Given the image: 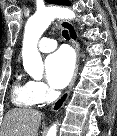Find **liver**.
I'll list each match as a JSON object with an SVG mask.
<instances>
[{
  "label": "liver",
  "instance_id": "6515ba94",
  "mask_svg": "<svg viewBox=\"0 0 117 136\" xmlns=\"http://www.w3.org/2000/svg\"><path fill=\"white\" fill-rule=\"evenodd\" d=\"M41 113L34 109L15 108L4 117L0 136H36Z\"/></svg>",
  "mask_w": 117,
  "mask_h": 136
}]
</instances>
